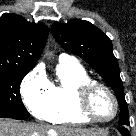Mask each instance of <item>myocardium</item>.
<instances>
[{
  "instance_id": "f54148a6",
  "label": "myocardium",
  "mask_w": 136,
  "mask_h": 136,
  "mask_svg": "<svg viewBox=\"0 0 136 136\" xmlns=\"http://www.w3.org/2000/svg\"><path fill=\"white\" fill-rule=\"evenodd\" d=\"M97 90H104L111 98L114 106L113 114L106 119L97 117L91 108V100L94 93ZM77 104L81 114L86 117L89 121L96 123H107L115 119L119 111V104L116 95L110 87L106 84L98 81H88L82 84L77 90Z\"/></svg>"
}]
</instances>
